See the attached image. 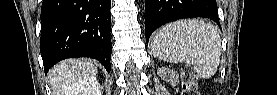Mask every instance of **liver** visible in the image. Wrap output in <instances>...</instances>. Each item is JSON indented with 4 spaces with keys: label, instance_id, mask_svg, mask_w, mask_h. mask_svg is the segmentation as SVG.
Here are the masks:
<instances>
[{
    "label": "liver",
    "instance_id": "liver-1",
    "mask_svg": "<svg viewBox=\"0 0 277 95\" xmlns=\"http://www.w3.org/2000/svg\"><path fill=\"white\" fill-rule=\"evenodd\" d=\"M98 68L88 59H68L59 62L49 72L53 95H71L82 79L95 76Z\"/></svg>",
    "mask_w": 277,
    "mask_h": 95
}]
</instances>
